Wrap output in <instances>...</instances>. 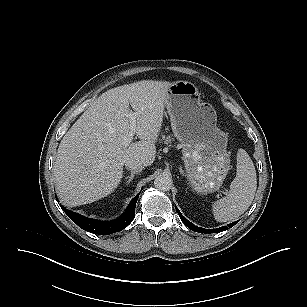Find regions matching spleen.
Masks as SVG:
<instances>
[{"mask_svg":"<svg viewBox=\"0 0 307 307\" xmlns=\"http://www.w3.org/2000/svg\"><path fill=\"white\" fill-rule=\"evenodd\" d=\"M256 189L255 166L247 152L240 148L237 153V173L230 191L212 205L215 220L227 222L242 215L251 205Z\"/></svg>","mask_w":307,"mask_h":307,"instance_id":"spleen-1","label":"spleen"}]
</instances>
